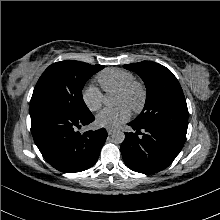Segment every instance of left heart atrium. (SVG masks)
I'll use <instances>...</instances> for the list:
<instances>
[{
  "mask_svg": "<svg viewBox=\"0 0 220 220\" xmlns=\"http://www.w3.org/2000/svg\"><path fill=\"white\" fill-rule=\"evenodd\" d=\"M131 116L130 108L126 105H119L116 108H107L96 116V124L100 127L116 128L126 122Z\"/></svg>",
  "mask_w": 220,
  "mask_h": 220,
  "instance_id": "obj_1",
  "label": "left heart atrium"
}]
</instances>
